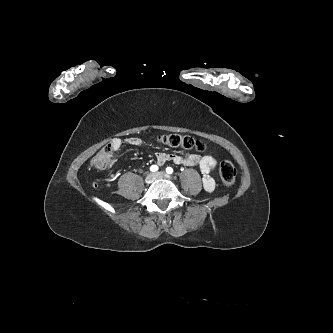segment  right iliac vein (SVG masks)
<instances>
[{
    "mask_svg": "<svg viewBox=\"0 0 333 333\" xmlns=\"http://www.w3.org/2000/svg\"><path fill=\"white\" fill-rule=\"evenodd\" d=\"M154 180H155V174L154 173H149L145 178V182L147 184H151Z\"/></svg>",
    "mask_w": 333,
    "mask_h": 333,
    "instance_id": "63e3f726",
    "label": "right iliac vein"
}]
</instances>
